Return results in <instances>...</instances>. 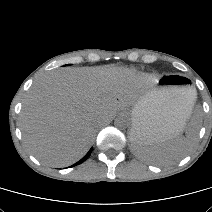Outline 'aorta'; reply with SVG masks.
I'll return each mask as SVG.
<instances>
[{"instance_id":"762f6f07","label":"aorta","mask_w":212,"mask_h":212,"mask_svg":"<svg viewBox=\"0 0 212 212\" xmlns=\"http://www.w3.org/2000/svg\"><path fill=\"white\" fill-rule=\"evenodd\" d=\"M114 125L117 127V128H120V129H123L125 127H127L128 125V121L125 117L123 116H119L115 119L114 121Z\"/></svg>"}]
</instances>
